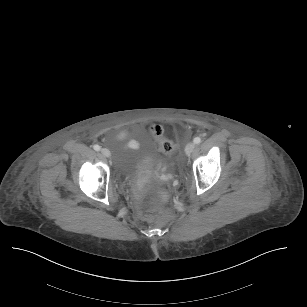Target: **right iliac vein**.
<instances>
[{"label":"right iliac vein","mask_w":307,"mask_h":307,"mask_svg":"<svg viewBox=\"0 0 307 307\" xmlns=\"http://www.w3.org/2000/svg\"><path fill=\"white\" fill-rule=\"evenodd\" d=\"M101 153H102V155L103 156H105V157H110V151L108 150V149H106V148H102L101 149Z\"/></svg>","instance_id":"right-iliac-vein-1"}]
</instances>
